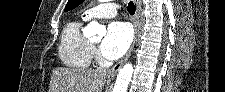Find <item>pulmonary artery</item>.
I'll list each match as a JSON object with an SVG mask.
<instances>
[{
    "label": "pulmonary artery",
    "mask_w": 225,
    "mask_h": 92,
    "mask_svg": "<svg viewBox=\"0 0 225 92\" xmlns=\"http://www.w3.org/2000/svg\"><path fill=\"white\" fill-rule=\"evenodd\" d=\"M118 5L116 2L103 1L98 6L91 7L84 12V19L111 18L117 14Z\"/></svg>",
    "instance_id": "pulmonary-artery-1"
}]
</instances>
